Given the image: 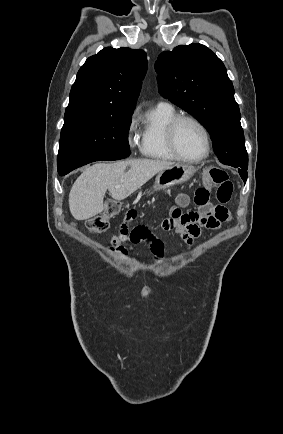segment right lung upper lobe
<instances>
[{
  "label": "right lung upper lobe",
  "instance_id": "cb5924a9",
  "mask_svg": "<svg viewBox=\"0 0 283 434\" xmlns=\"http://www.w3.org/2000/svg\"><path fill=\"white\" fill-rule=\"evenodd\" d=\"M146 70L141 49H102L78 71L64 119L133 114Z\"/></svg>",
  "mask_w": 283,
  "mask_h": 434
}]
</instances>
